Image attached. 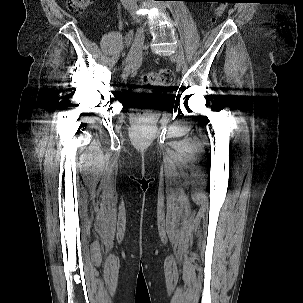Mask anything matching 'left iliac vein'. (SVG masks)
Instances as JSON below:
<instances>
[{
    "label": "left iliac vein",
    "mask_w": 303,
    "mask_h": 303,
    "mask_svg": "<svg viewBox=\"0 0 303 303\" xmlns=\"http://www.w3.org/2000/svg\"><path fill=\"white\" fill-rule=\"evenodd\" d=\"M180 65H184V55L180 48L172 56Z\"/></svg>",
    "instance_id": "left-iliac-vein-1"
}]
</instances>
